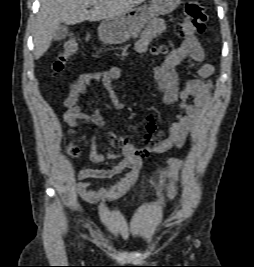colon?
Segmentation results:
<instances>
[{
	"mask_svg": "<svg viewBox=\"0 0 254 267\" xmlns=\"http://www.w3.org/2000/svg\"><path fill=\"white\" fill-rule=\"evenodd\" d=\"M207 21V13L205 7L199 0H187L183 7V18L176 25V32L182 37H191L194 34L202 33L205 30ZM79 49L78 40L71 36L68 37L62 44V50L53 62L52 69L54 74L61 73L66 65L70 63L73 55ZM165 47H158L153 49L155 55L164 54ZM68 151L71 156H79L81 149L77 145H70ZM183 162L180 159L173 158L168 161L167 166V188L168 196L174 199L177 196V173L181 168Z\"/></svg>",
	"mask_w": 254,
	"mask_h": 267,
	"instance_id": "1",
	"label": "colon"
}]
</instances>
